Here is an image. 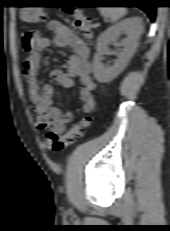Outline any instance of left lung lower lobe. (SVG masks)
I'll list each match as a JSON object with an SVG mask.
<instances>
[{
    "instance_id": "left-lung-lower-lobe-1",
    "label": "left lung lower lobe",
    "mask_w": 170,
    "mask_h": 231,
    "mask_svg": "<svg viewBox=\"0 0 170 231\" xmlns=\"http://www.w3.org/2000/svg\"><path fill=\"white\" fill-rule=\"evenodd\" d=\"M132 3L137 4L136 7L141 8L147 13L150 20L153 22L155 20V7L152 0H133Z\"/></svg>"
}]
</instances>
